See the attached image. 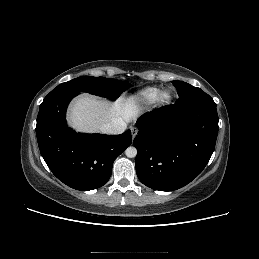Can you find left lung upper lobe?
Instances as JSON below:
<instances>
[{"label": "left lung upper lobe", "instance_id": "5c2ea615", "mask_svg": "<svg viewBox=\"0 0 259 259\" xmlns=\"http://www.w3.org/2000/svg\"><path fill=\"white\" fill-rule=\"evenodd\" d=\"M178 91V102H214L213 99L198 87H194L183 81H172Z\"/></svg>", "mask_w": 259, "mask_h": 259}]
</instances>
